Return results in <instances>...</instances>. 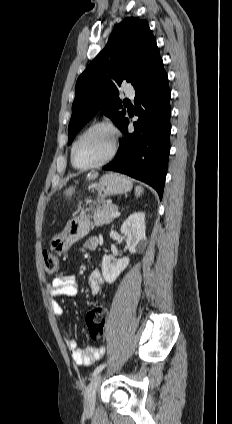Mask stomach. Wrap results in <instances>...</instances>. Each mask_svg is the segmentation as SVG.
I'll list each match as a JSON object with an SVG mask.
<instances>
[{
    "label": "stomach",
    "mask_w": 232,
    "mask_h": 424,
    "mask_svg": "<svg viewBox=\"0 0 232 424\" xmlns=\"http://www.w3.org/2000/svg\"><path fill=\"white\" fill-rule=\"evenodd\" d=\"M95 189L98 192V201L102 202L107 196L129 192L132 189V182L122 175L108 173L100 178ZM91 226L89 216L86 215L70 221L62 233L51 238L50 249L58 255L65 254L72 244L88 234Z\"/></svg>",
    "instance_id": "0dacf381"
}]
</instances>
